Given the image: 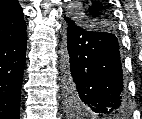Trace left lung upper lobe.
<instances>
[{
	"label": "left lung upper lobe",
	"mask_w": 142,
	"mask_h": 119,
	"mask_svg": "<svg viewBox=\"0 0 142 119\" xmlns=\"http://www.w3.org/2000/svg\"><path fill=\"white\" fill-rule=\"evenodd\" d=\"M69 17L79 25L93 31H113L112 18L105 7L94 0H85L77 4Z\"/></svg>",
	"instance_id": "obj_1"
}]
</instances>
